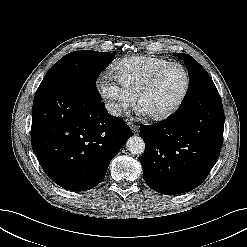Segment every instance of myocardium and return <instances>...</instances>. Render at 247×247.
I'll return each mask as SVG.
<instances>
[{"mask_svg": "<svg viewBox=\"0 0 247 247\" xmlns=\"http://www.w3.org/2000/svg\"><path fill=\"white\" fill-rule=\"evenodd\" d=\"M172 67H178L184 73L185 85H184L183 91L180 94L177 101L170 108H168L162 112H159V113H145V115L152 120H155V121L165 120V119L171 117L172 115H174L183 105V103H184V101L188 95L189 89H190V76H189V73H188V70L186 69V67L180 63L171 62V63H168V64L156 69L154 72H152L144 80V82L139 86V88L137 89V91L134 95L136 107L141 110L140 104H141V100H142L143 96L154 85V83L159 78V76L163 72H165L167 69L172 68Z\"/></svg>", "mask_w": 247, "mask_h": 247, "instance_id": "myocardium-1", "label": "myocardium"}]
</instances>
